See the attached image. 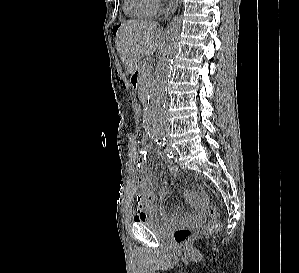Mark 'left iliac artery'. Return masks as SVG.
Returning <instances> with one entry per match:
<instances>
[{
    "label": "left iliac artery",
    "mask_w": 299,
    "mask_h": 273,
    "mask_svg": "<svg viewBox=\"0 0 299 273\" xmlns=\"http://www.w3.org/2000/svg\"><path fill=\"white\" fill-rule=\"evenodd\" d=\"M159 144H160V146H163V147L166 146V142H165V141L160 142ZM165 152H166V154H167V156H168L169 158H173V157H174V155H173V153H172L171 150L166 149Z\"/></svg>",
    "instance_id": "44dca946"
}]
</instances>
